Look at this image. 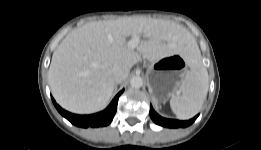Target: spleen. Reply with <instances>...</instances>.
I'll return each mask as SVG.
<instances>
[{"instance_id":"3e777b00","label":"spleen","mask_w":261,"mask_h":150,"mask_svg":"<svg viewBox=\"0 0 261 150\" xmlns=\"http://www.w3.org/2000/svg\"><path fill=\"white\" fill-rule=\"evenodd\" d=\"M189 66L191 70L170 99V107L180 120L190 119L201 110L209 88L208 72L196 43L190 49Z\"/></svg>"}]
</instances>
